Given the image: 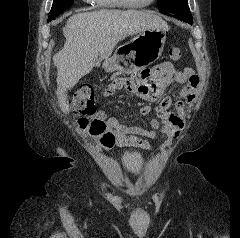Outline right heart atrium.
<instances>
[{
	"label": "right heart atrium",
	"mask_w": 240,
	"mask_h": 238,
	"mask_svg": "<svg viewBox=\"0 0 240 238\" xmlns=\"http://www.w3.org/2000/svg\"><path fill=\"white\" fill-rule=\"evenodd\" d=\"M84 1H87V2H89V1H92V0H84Z\"/></svg>",
	"instance_id": "right-heart-atrium-1"
}]
</instances>
